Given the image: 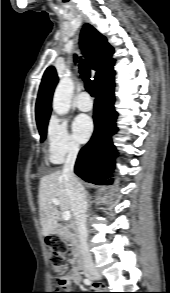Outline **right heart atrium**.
Listing matches in <instances>:
<instances>
[{
	"instance_id": "right-heart-atrium-1",
	"label": "right heart atrium",
	"mask_w": 170,
	"mask_h": 293,
	"mask_svg": "<svg viewBox=\"0 0 170 293\" xmlns=\"http://www.w3.org/2000/svg\"><path fill=\"white\" fill-rule=\"evenodd\" d=\"M47 151L54 163H62L79 152V145L69 133L64 119L53 117L50 120L47 129Z\"/></svg>"
}]
</instances>
